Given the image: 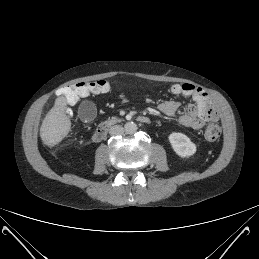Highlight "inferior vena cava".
<instances>
[{"instance_id": "602c4592", "label": "inferior vena cava", "mask_w": 259, "mask_h": 259, "mask_svg": "<svg viewBox=\"0 0 259 259\" xmlns=\"http://www.w3.org/2000/svg\"><path fill=\"white\" fill-rule=\"evenodd\" d=\"M109 134L112 136H118L124 134V128L120 125L112 126L109 130Z\"/></svg>"}]
</instances>
